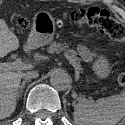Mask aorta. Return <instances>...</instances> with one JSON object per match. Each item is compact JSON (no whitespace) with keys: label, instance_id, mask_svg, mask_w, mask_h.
I'll list each match as a JSON object with an SVG mask.
<instances>
[{"label":"aorta","instance_id":"1","mask_svg":"<svg viewBox=\"0 0 125 125\" xmlns=\"http://www.w3.org/2000/svg\"><path fill=\"white\" fill-rule=\"evenodd\" d=\"M50 83L55 89L65 91L70 87L71 80L65 71L58 69L51 74Z\"/></svg>","mask_w":125,"mask_h":125}]
</instances>
